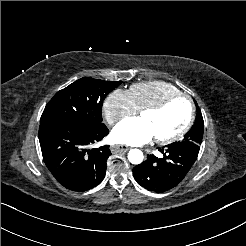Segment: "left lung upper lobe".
Instances as JSON below:
<instances>
[{"instance_id":"5c2ea615","label":"left lung upper lobe","mask_w":246,"mask_h":246,"mask_svg":"<svg viewBox=\"0 0 246 246\" xmlns=\"http://www.w3.org/2000/svg\"><path fill=\"white\" fill-rule=\"evenodd\" d=\"M194 102L197 110L195 123L190 129V131L184 136V139L181 142L189 141L197 145H200L203 138L204 121L197 102L195 100Z\"/></svg>"}]
</instances>
